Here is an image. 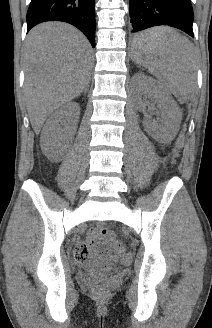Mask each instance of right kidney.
Segmentation results:
<instances>
[{"mask_svg": "<svg viewBox=\"0 0 212 328\" xmlns=\"http://www.w3.org/2000/svg\"><path fill=\"white\" fill-rule=\"evenodd\" d=\"M80 106L76 102H70L55 111L47 120L42 134L41 143L44 149L54 147L61 141L68 143L75 135Z\"/></svg>", "mask_w": 212, "mask_h": 328, "instance_id": "1", "label": "right kidney"}]
</instances>
